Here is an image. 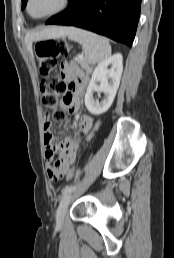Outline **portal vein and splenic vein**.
<instances>
[{
    "instance_id": "obj_1",
    "label": "portal vein and splenic vein",
    "mask_w": 174,
    "mask_h": 258,
    "mask_svg": "<svg viewBox=\"0 0 174 258\" xmlns=\"http://www.w3.org/2000/svg\"><path fill=\"white\" fill-rule=\"evenodd\" d=\"M78 58H79V59H83V58H84V56H83V55H80Z\"/></svg>"
}]
</instances>
